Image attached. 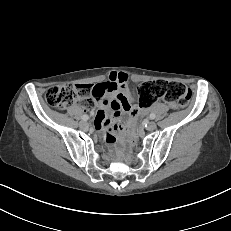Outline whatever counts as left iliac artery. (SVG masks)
Returning a JSON list of instances; mask_svg holds the SVG:
<instances>
[{
  "mask_svg": "<svg viewBox=\"0 0 231 231\" xmlns=\"http://www.w3.org/2000/svg\"><path fill=\"white\" fill-rule=\"evenodd\" d=\"M150 119H155V114L151 113L150 114Z\"/></svg>",
  "mask_w": 231,
  "mask_h": 231,
  "instance_id": "obj_1",
  "label": "left iliac artery"
}]
</instances>
